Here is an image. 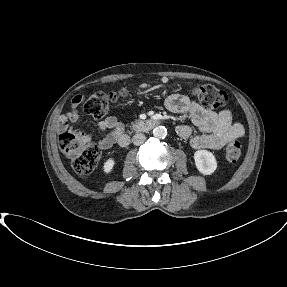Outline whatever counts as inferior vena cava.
<instances>
[{"label":"inferior vena cava","instance_id":"1","mask_svg":"<svg viewBox=\"0 0 287 287\" xmlns=\"http://www.w3.org/2000/svg\"><path fill=\"white\" fill-rule=\"evenodd\" d=\"M145 140H146V136L144 134H141V133L135 134L132 138V142L136 146L143 144L145 142Z\"/></svg>","mask_w":287,"mask_h":287}]
</instances>
